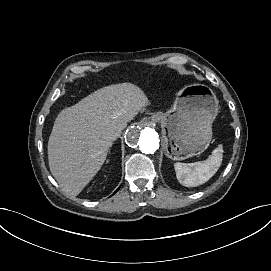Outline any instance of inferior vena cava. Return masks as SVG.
I'll return each mask as SVG.
<instances>
[{"label":"inferior vena cava","mask_w":271,"mask_h":271,"mask_svg":"<svg viewBox=\"0 0 271 271\" xmlns=\"http://www.w3.org/2000/svg\"><path fill=\"white\" fill-rule=\"evenodd\" d=\"M120 136V132H116L115 134H113L112 136H110V140H115L117 137Z\"/></svg>","instance_id":"602c4592"}]
</instances>
